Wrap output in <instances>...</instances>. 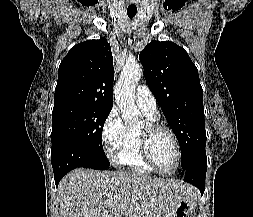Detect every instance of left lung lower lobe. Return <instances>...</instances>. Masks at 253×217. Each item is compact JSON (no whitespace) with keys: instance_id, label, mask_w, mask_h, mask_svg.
I'll list each match as a JSON object with an SVG mask.
<instances>
[{"instance_id":"1","label":"left lung lower lobe","mask_w":253,"mask_h":217,"mask_svg":"<svg viewBox=\"0 0 253 217\" xmlns=\"http://www.w3.org/2000/svg\"><path fill=\"white\" fill-rule=\"evenodd\" d=\"M207 170L206 155L194 160V164L184 170V181L198 187L203 194L205 190V176Z\"/></svg>"}]
</instances>
